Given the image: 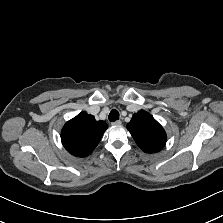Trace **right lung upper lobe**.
Here are the masks:
<instances>
[{"instance_id": "1", "label": "right lung upper lobe", "mask_w": 223, "mask_h": 223, "mask_svg": "<svg viewBox=\"0 0 223 223\" xmlns=\"http://www.w3.org/2000/svg\"><path fill=\"white\" fill-rule=\"evenodd\" d=\"M107 128L106 122L96 121L94 116L81 112L64 125L61 140L70 154L86 157L98 145Z\"/></svg>"}]
</instances>
